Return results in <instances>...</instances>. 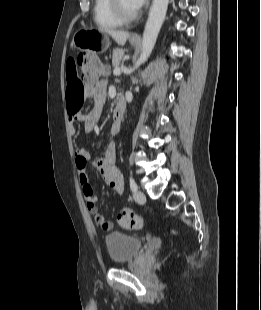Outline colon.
<instances>
[{
	"mask_svg": "<svg viewBox=\"0 0 261 310\" xmlns=\"http://www.w3.org/2000/svg\"><path fill=\"white\" fill-rule=\"evenodd\" d=\"M76 64L80 70L78 80L81 84H93L107 71L106 65L91 54L79 55ZM118 222L127 229H140L143 226L142 217L128 209H124L118 214Z\"/></svg>",
	"mask_w": 261,
	"mask_h": 310,
	"instance_id": "obj_1",
	"label": "colon"
}]
</instances>
